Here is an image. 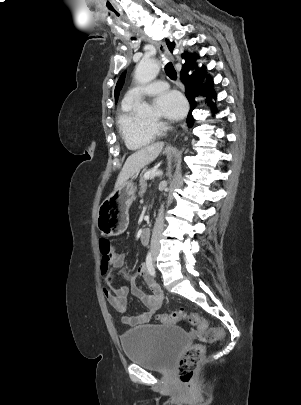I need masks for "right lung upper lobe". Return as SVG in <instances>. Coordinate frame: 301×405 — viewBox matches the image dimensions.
Listing matches in <instances>:
<instances>
[{
	"instance_id": "obj_1",
	"label": "right lung upper lobe",
	"mask_w": 301,
	"mask_h": 405,
	"mask_svg": "<svg viewBox=\"0 0 301 405\" xmlns=\"http://www.w3.org/2000/svg\"><path fill=\"white\" fill-rule=\"evenodd\" d=\"M167 41V46L169 48V50L172 52V50L174 49V43H170L168 40ZM183 57H185L186 59V63L183 65V69H186L188 67H191L192 65L195 64L194 59L190 58L188 54H184ZM182 69V70H183Z\"/></svg>"
}]
</instances>
